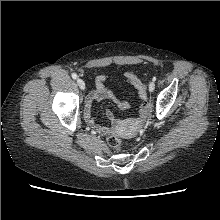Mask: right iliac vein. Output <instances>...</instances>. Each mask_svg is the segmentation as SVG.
Here are the masks:
<instances>
[{
  "instance_id": "1",
  "label": "right iliac vein",
  "mask_w": 220,
  "mask_h": 220,
  "mask_svg": "<svg viewBox=\"0 0 220 220\" xmlns=\"http://www.w3.org/2000/svg\"><path fill=\"white\" fill-rule=\"evenodd\" d=\"M77 84H78V86L80 87L81 90L85 89V83L81 78L77 79Z\"/></svg>"
}]
</instances>
